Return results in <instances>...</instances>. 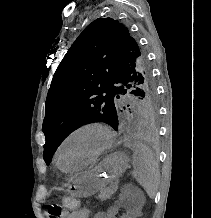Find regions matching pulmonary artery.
Segmentation results:
<instances>
[{"label": "pulmonary artery", "instance_id": "e3ab8cb5", "mask_svg": "<svg viewBox=\"0 0 211 218\" xmlns=\"http://www.w3.org/2000/svg\"><path fill=\"white\" fill-rule=\"evenodd\" d=\"M111 88H112V90L109 91V94H110V95H119V94H120V91L117 90V87H116V86L111 85Z\"/></svg>", "mask_w": 211, "mask_h": 218}]
</instances>
